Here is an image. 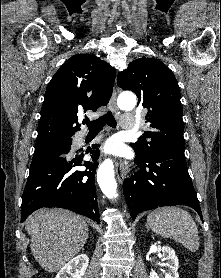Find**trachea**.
<instances>
[{"label": "trachea", "mask_w": 221, "mask_h": 278, "mask_svg": "<svg viewBox=\"0 0 221 278\" xmlns=\"http://www.w3.org/2000/svg\"><path fill=\"white\" fill-rule=\"evenodd\" d=\"M85 123L90 132L100 131L106 124L110 127H116L117 125V122L111 111H108L106 114L95 121L86 120Z\"/></svg>", "instance_id": "trachea-1"}]
</instances>
